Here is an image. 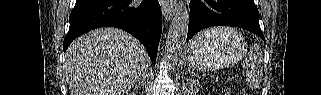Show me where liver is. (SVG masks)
<instances>
[{
    "label": "liver",
    "instance_id": "liver-1",
    "mask_svg": "<svg viewBox=\"0 0 321 95\" xmlns=\"http://www.w3.org/2000/svg\"><path fill=\"white\" fill-rule=\"evenodd\" d=\"M64 72L72 95H125L146 75L143 45L117 28L93 30L66 52Z\"/></svg>",
    "mask_w": 321,
    "mask_h": 95
}]
</instances>
